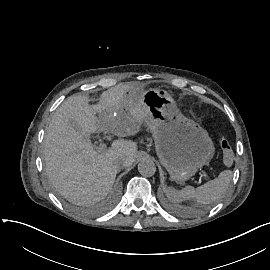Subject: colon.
<instances>
[{
  "label": "colon",
  "mask_w": 270,
  "mask_h": 270,
  "mask_svg": "<svg viewBox=\"0 0 270 270\" xmlns=\"http://www.w3.org/2000/svg\"><path fill=\"white\" fill-rule=\"evenodd\" d=\"M219 144L224 151L222 156V162L226 166H231L235 162V156L233 154L231 143L226 138H221Z\"/></svg>",
  "instance_id": "1"
}]
</instances>
